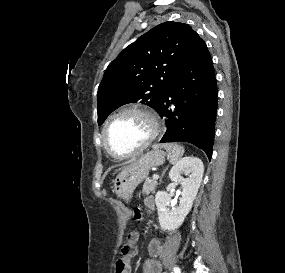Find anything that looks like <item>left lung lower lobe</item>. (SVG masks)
<instances>
[{"label":"left lung lower lobe","instance_id":"left-lung-lower-lobe-1","mask_svg":"<svg viewBox=\"0 0 285 273\" xmlns=\"http://www.w3.org/2000/svg\"><path fill=\"white\" fill-rule=\"evenodd\" d=\"M218 90L211 55L194 31L187 52L157 111L165 117L160 142L197 145L211 159Z\"/></svg>","mask_w":285,"mask_h":273}]
</instances>
